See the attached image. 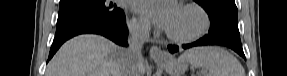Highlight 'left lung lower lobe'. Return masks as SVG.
Here are the masks:
<instances>
[{"mask_svg": "<svg viewBox=\"0 0 287 76\" xmlns=\"http://www.w3.org/2000/svg\"><path fill=\"white\" fill-rule=\"evenodd\" d=\"M202 45H222V46H226L229 47L231 49H233L235 52H237L240 56H242L244 59L245 55L242 49V45L241 42H230L221 38H216L214 36L211 35H205L203 38L199 39L198 41L191 43V44H186L183 45L182 48L184 49H188L191 47H195V46H202ZM168 50L171 53H175L179 50V46L176 45H169L168 46Z\"/></svg>", "mask_w": 287, "mask_h": 76, "instance_id": "0a47b994", "label": "left lung lower lobe"}]
</instances>
